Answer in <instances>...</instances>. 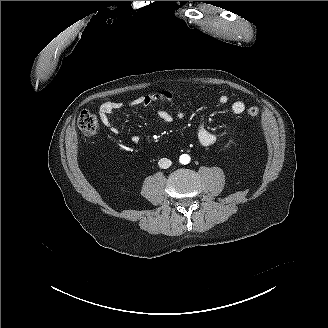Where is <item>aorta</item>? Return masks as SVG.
<instances>
[{
	"instance_id": "762f6f07",
	"label": "aorta",
	"mask_w": 328,
	"mask_h": 328,
	"mask_svg": "<svg viewBox=\"0 0 328 328\" xmlns=\"http://www.w3.org/2000/svg\"><path fill=\"white\" fill-rule=\"evenodd\" d=\"M181 164H188L190 162V156L188 154H182L179 158Z\"/></svg>"
}]
</instances>
